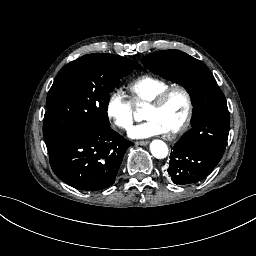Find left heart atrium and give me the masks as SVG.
<instances>
[{
	"label": "left heart atrium",
	"mask_w": 256,
	"mask_h": 256,
	"mask_svg": "<svg viewBox=\"0 0 256 256\" xmlns=\"http://www.w3.org/2000/svg\"><path fill=\"white\" fill-rule=\"evenodd\" d=\"M143 129L147 134L166 135L170 131V124L159 115H153L143 123Z\"/></svg>",
	"instance_id": "left-heart-atrium-1"
}]
</instances>
